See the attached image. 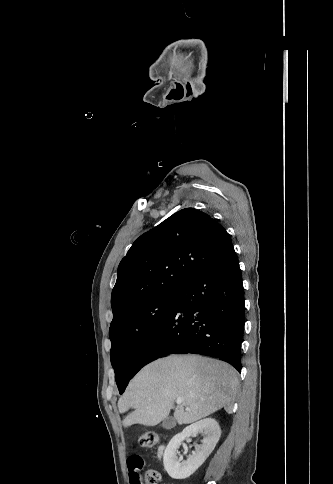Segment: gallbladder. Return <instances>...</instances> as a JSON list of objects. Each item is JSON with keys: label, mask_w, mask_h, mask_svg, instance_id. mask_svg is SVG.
I'll use <instances>...</instances> for the list:
<instances>
[{"label": "gallbladder", "mask_w": 333, "mask_h": 484, "mask_svg": "<svg viewBox=\"0 0 333 484\" xmlns=\"http://www.w3.org/2000/svg\"><path fill=\"white\" fill-rule=\"evenodd\" d=\"M176 425V421L174 419V417L172 416H167L161 423V426L164 428V429H172L174 428Z\"/></svg>", "instance_id": "bac80fb5"}]
</instances>
